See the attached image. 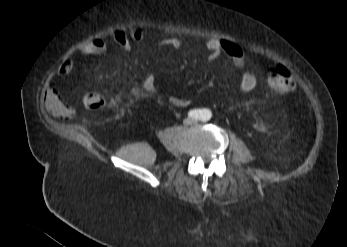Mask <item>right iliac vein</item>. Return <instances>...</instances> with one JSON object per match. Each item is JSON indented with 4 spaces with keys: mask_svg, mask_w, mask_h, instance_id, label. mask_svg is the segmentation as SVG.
Wrapping results in <instances>:
<instances>
[{
    "mask_svg": "<svg viewBox=\"0 0 347 247\" xmlns=\"http://www.w3.org/2000/svg\"><path fill=\"white\" fill-rule=\"evenodd\" d=\"M188 124H190V120L185 121V125H188Z\"/></svg>",
    "mask_w": 347,
    "mask_h": 247,
    "instance_id": "63e3f726",
    "label": "right iliac vein"
}]
</instances>
